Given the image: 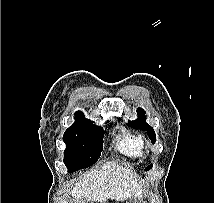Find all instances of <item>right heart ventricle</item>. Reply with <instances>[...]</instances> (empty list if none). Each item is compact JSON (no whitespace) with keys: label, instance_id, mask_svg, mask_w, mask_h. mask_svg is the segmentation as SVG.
Listing matches in <instances>:
<instances>
[{"label":"right heart ventricle","instance_id":"e07e8e85","mask_svg":"<svg viewBox=\"0 0 214 203\" xmlns=\"http://www.w3.org/2000/svg\"><path fill=\"white\" fill-rule=\"evenodd\" d=\"M116 147L119 152L130 158H140L144 154L142 136L124 128L117 136Z\"/></svg>","mask_w":214,"mask_h":203}]
</instances>
